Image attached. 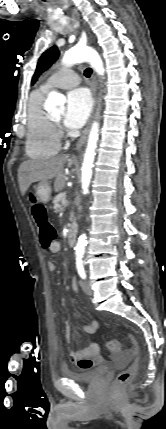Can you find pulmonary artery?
<instances>
[{
	"instance_id": "e3ab8cb5",
	"label": "pulmonary artery",
	"mask_w": 166,
	"mask_h": 429,
	"mask_svg": "<svg viewBox=\"0 0 166 429\" xmlns=\"http://www.w3.org/2000/svg\"><path fill=\"white\" fill-rule=\"evenodd\" d=\"M79 81L80 77L77 73L70 69H61L52 74L42 88L46 90L51 87L70 88L76 86Z\"/></svg>"
}]
</instances>
